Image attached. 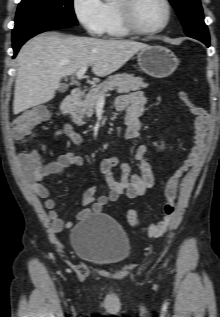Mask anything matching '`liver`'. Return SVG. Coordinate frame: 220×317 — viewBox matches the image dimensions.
Masks as SVG:
<instances>
[{
    "mask_svg": "<svg viewBox=\"0 0 220 317\" xmlns=\"http://www.w3.org/2000/svg\"><path fill=\"white\" fill-rule=\"evenodd\" d=\"M148 45L128 40L67 37L43 33L29 40L17 55L13 112L46 103L55 96L63 77L83 66L105 77L121 68Z\"/></svg>",
    "mask_w": 220,
    "mask_h": 317,
    "instance_id": "6515ba94",
    "label": "liver"
}]
</instances>
